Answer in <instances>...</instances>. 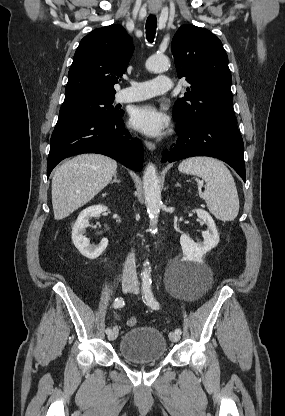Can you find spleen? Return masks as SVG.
<instances>
[{
    "label": "spleen",
    "instance_id": "3e777b00",
    "mask_svg": "<svg viewBox=\"0 0 285 416\" xmlns=\"http://www.w3.org/2000/svg\"><path fill=\"white\" fill-rule=\"evenodd\" d=\"M182 174L199 176L206 182L202 194L207 208L217 220L232 222L238 216L239 198L236 184L226 166L214 158H187L178 166Z\"/></svg>",
    "mask_w": 285,
    "mask_h": 416
}]
</instances>
